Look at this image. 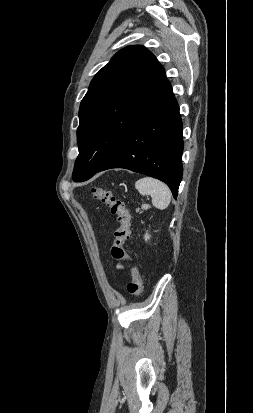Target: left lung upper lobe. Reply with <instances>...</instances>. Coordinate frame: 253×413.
I'll list each match as a JSON object with an SVG mask.
<instances>
[{
    "label": "left lung upper lobe",
    "mask_w": 253,
    "mask_h": 413,
    "mask_svg": "<svg viewBox=\"0 0 253 413\" xmlns=\"http://www.w3.org/2000/svg\"><path fill=\"white\" fill-rule=\"evenodd\" d=\"M169 85L164 68L144 46L116 53L95 75L81 102L72 179L82 182L95 173Z\"/></svg>",
    "instance_id": "obj_1"
}]
</instances>
